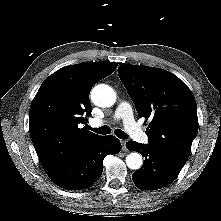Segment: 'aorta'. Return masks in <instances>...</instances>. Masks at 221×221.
Here are the masks:
<instances>
[{
  "label": "aorta",
  "instance_id": "aorta-1",
  "mask_svg": "<svg viewBox=\"0 0 221 221\" xmlns=\"http://www.w3.org/2000/svg\"><path fill=\"white\" fill-rule=\"evenodd\" d=\"M91 99L99 107H110L116 101V93L110 86L99 84L92 89ZM142 163V156L137 152H132L126 157V164L132 170L140 169Z\"/></svg>",
  "mask_w": 221,
  "mask_h": 221
}]
</instances>
